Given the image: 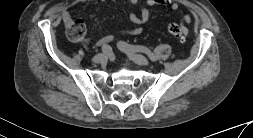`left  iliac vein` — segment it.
Listing matches in <instances>:
<instances>
[{"mask_svg": "<svg viewBox=\"0 0 253 138\" xmlns=\"http://www.w3.org/2000/svg\"><path fill=\"white\" fill-rule=\"evenodd\" d=\"M120 48V47H119ZM120 50H122L125 54H127L129 57H131L132 59H134V61L137 63V64H140V65H147L149 63L148 59L137 53V52H134V51H130V50H125L123 48H120Z\"/></svg>", "mask_w": 253, "mask_h": 138, "instance_id": "left-iliac-vein-1", "label": "left iliac vein"}]
</instances>
